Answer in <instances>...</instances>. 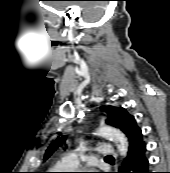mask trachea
<instances>
[{
	"mask_svg": "<svg viewBox=\"0 0 170 173\" xmlns=\"http://www.w3.org/2000/svg\"><path fill=\"white\" fill-rule=\"evenodd\" d=\"M106 158H113L112 156H107Z\"/></svg>",
	"mask_w": 170,
	"mask_h": 173,
	"instance_id": "obj_1",
	"label": "trachea"
}]
</instances>
